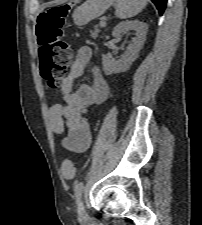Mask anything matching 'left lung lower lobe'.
I'll use <instances>...</instances> for the list:
<instances>
[{
    "mask_svg": "<svg viewBox=\"0 0 202 225\" xmlns=\"http://www.w3.org/2000/svg\"><path fill=\"white\" fill-rule=\"evenodd\" d=\"M152 2L156 5L159 14L162 15L166 7L167 0H152Z\"/></svg>",
    "mask_w": 202,
    "mask_h": 225,
    "instance_id": "0a47b994",
    "label": "left lung lower lobe"
}]
</instances>
